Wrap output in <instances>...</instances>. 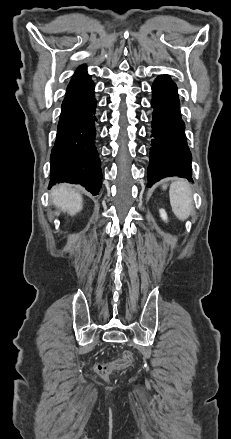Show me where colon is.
<instances>
[{"instance_id": "colon-1", "label": "colon", "mask_w": 231, "mask_h": 439, "mask_svg": "<svg viewBox=\"0 0 231 439\" xmlns=\"http://www.w3.org/2000/svg\"><path fill=\"white\" fill-rule=\"evenodd\" d=\"M133 362V354L130 351H124L121 358L111 362L98 363L94 370L101 377H107L112 370L121 369L130 366Z\"/></svg>"}]
</instances>
